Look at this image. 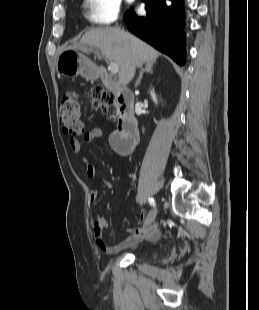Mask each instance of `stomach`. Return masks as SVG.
<instances>
[{
    "label": "stomach",
    "instance_id": "0dacf381",
    "mask_svg": "<svg viewBox=\"0 0 259 310\" xmlns=\"http://www.w3.org/2000/svg\"><path fill=\"white\" fill-rule=\"evenodd\" d=\"M57 71L63 75L75 77L81 75L93 79V64L83 55L79 49L67 47L58 55L56 62Z\"/></svg>",
    "mask_w": 259,
    "mask_h": 310
}]
</instances>
